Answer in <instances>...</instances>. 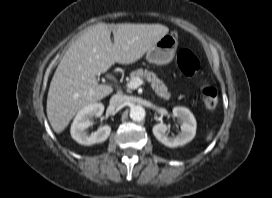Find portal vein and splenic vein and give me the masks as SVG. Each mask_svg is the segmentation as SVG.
<instances>
[{"label":"portal vein and splenic vein","instance_id":"18ae733b","mask_svg":"<svg viewBox=\"0 0 272 198\" xmlns=\"http://www.w3.org/2000/svg\"><path fill=\"white\" fill-rule=\"evenodd\" d=\"M144 81L140 78H134L129 83L126 84L128 89H137L139 86L143 85Z\"/></svg>","mask_w":272,"mask_h":198}]
</instances>
